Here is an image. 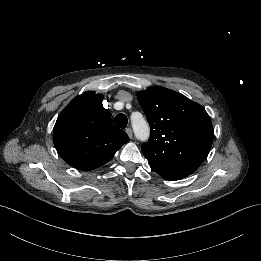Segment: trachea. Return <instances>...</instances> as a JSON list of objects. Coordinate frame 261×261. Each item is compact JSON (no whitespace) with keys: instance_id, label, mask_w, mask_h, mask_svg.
Wrapping results in <instances>:
<instances>
[{"instance_id":"obj_1","label":"trachea","mask_w":261,"mask_h":261,"mask_svg":"<svg viewBox=\"0 0 261 261\" xmlns=\"http://www.w3.org/2000/svg\"><path fill=\"white\" fill-rule=\"evenodd\" d=\"M114 123L119 128H126L128 124V118L125 114H117L114 118Z\"/></svg>"}]
</instances>
